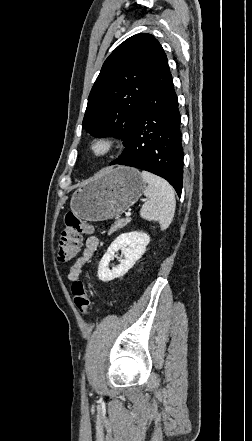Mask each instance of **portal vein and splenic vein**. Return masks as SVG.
<instances>
[{
	"label": "portal vein and splenic vein",
	"instance_id": "1",
	"mask_svg": "<svg viewBox=\"0 0 252 441\" xmlns=\"http://www.w3.org/2000/svg\"><path fill=\"white\" fill-rule=\"evenodd\" d=\"M125 216H126V218H129V217L131 216V213H130V212H127V213L125 214Z\"/></svg>",
	"mask_w": 252,
	"mask_h": 441
}]
</instances>
